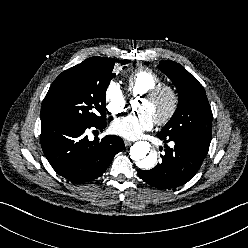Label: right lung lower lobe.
Here are the masks:
<instances>
[{"label": "right lung lower lobe", "mask_w": 248, "mask_h": 248, "mask_svg": "<svg viewBox=\"0 0 248 248\" xmlns=\"http://www.w3.org/2000/svg\"><path fill=\"white\" fill-rule=\"evenodd\" d=\"M105 127L106 121L97 124L41 122L42 149L56 173L76 183L100 177L114 156L124 149V142L119 136L107 135L101 140H88V129L102 131Z\"/></svg>", "instance_id": "right-lung-lower-lobe-1"}]
</instances>
